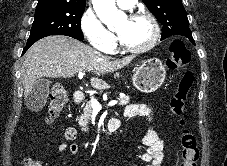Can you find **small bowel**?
Returning a JSON list of instances; mask_svg holds the SVG:
<instances>
[{
	"label": "small bowel",
	"mask_w": 227,
	"mask_h": 166,
	"mask_svg": "<svg viewBox=\"0 0 227 166\" xmlns=\"http://www.w3.org/2000/svg\"><path fill=\"white\" fill-rule=\"evenodd\" d=\"M124 116L128 118L141 116L145 117L148 122V130L143 139L146 150L141 154V160L147 162L149 166H162L163 163V141L158 137L155 128L152 125L153 112L147 104H131L124 109ZM119 125V124H118ZM76 130L73 127L67 128L62 134V141L58 145V151L62 154L68 151L71 156L80 152L78 144H68V141L75 139Z\"/></svg>",
	"instance_id": "small-bowel-1"
}]
</instances>
